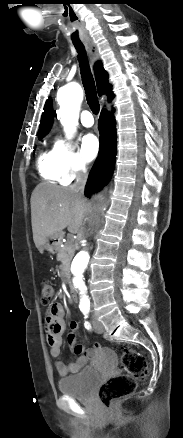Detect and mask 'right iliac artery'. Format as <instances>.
<instances>
[{
  "instance_id": "right-iliac-artery-1",
  "label": "right iliac artery",
  "mask_w": 183,
  "mask_h": 438,
  "mask_svg": "<svg viewBox=\"0 0 183 438\" xmlns=\"http://www.w3.org/2000/svg\"><path fill=\"white\" fill-rule=\"evenodd\" d=\"M85 327H86L87 329H90V328H91V326H90V324H89L88 322H85Z\"/></svg>"
}]
</instances>
